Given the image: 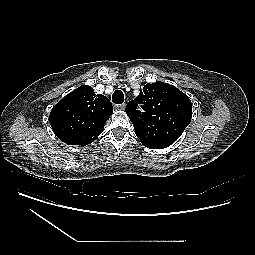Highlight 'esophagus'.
<instances>
[{
  "label": "esophagus",
  "mask_w": 255,
  "mask_h": 255,
  "mask_svg": "<svg viewBox=\"0 0 255 255\" xmlns=\"http://www.w3.org/2000/svg\"><path fill=\"white\" fill-rule=\"evenodd\" d=\"M125 107H126V104H120V105H115V108L117 109V110H124L125 109Z\"/></svg>",
  "instance_id": "34e87169"
}]
</instances>
